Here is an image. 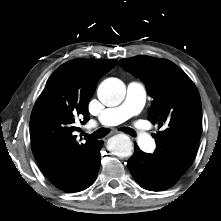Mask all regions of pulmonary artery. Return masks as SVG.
Wrapping results in <instances>:
<instances>
[{
	"label": "pulmonary artery",
	"instance_id": "pulmonary-artery-1",
	"mask_svg": "<svg viewBox=\"0 0 221 221\" xmlns=\"http://www.w3.org/2000/svg\"><path fill=\"white\" fill-rule=\"evenodd\" d=\"M145 101L146 90L144 85L137 81L130 82L123 103L117 107L103 110L97 117V124L102 126L118 125L140 113ZM137 141L144 151L150 152L155 149L154 140L147 132H138Z\"/></svg>",
	"mask_w": 221,
	"mask_h": 221
}]
</instances>
